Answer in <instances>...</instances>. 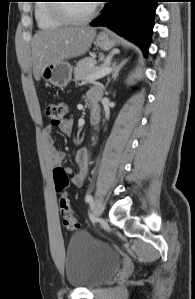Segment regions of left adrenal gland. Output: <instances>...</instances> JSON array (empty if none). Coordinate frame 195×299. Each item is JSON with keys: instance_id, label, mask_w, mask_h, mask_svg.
I'll use <instances>...</instances> for the list:
<instances>
[{"instance_id": "a2214340", "label": "left adrenal gland", "mask_w": 195, "mask_h": 299, "mask_svg": "<svg viewBox=\"0 0 195 299\" xmlns=\"http://www.w3.org/2000/svg\"><path fill=\"white\" fill-rule=\"evenodd\" d=\"M127 62V59L123 60L121 63L114 62L113 63V72L112 78L115 80L119 74L121 67Z\"/></svg>"}]
</instances>
